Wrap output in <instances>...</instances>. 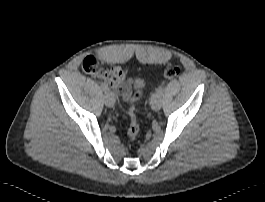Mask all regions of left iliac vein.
<instances>
[{"instance_id":"4c4485c4","label":"left iliac vein","mask_w":265,"mask_h":202,"mask_svg":"<svg viewBox=\"0 0 265 202\" xmlns=\"http://www.w3.org/2000/svg\"><path fill=\"white\" fill-rule=\"evenodd\" d=\"M150 105L154 111L160 110V108H161V97L158 95H154V97L150 101Z\"/></svg>"}]
</instances>
